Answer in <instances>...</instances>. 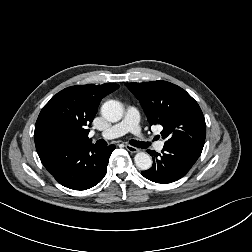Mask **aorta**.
Masks as SVG:
<instances>
[{
  "label": "aorta",
  "instance_id": "1",
  "mask_svg": "<svg viewBox=\"0 0 252 252\" xmlns=\"http://www.w3.org/2000/svg\"><path fill=\"white\" fill-rule=\"evenodd\" d=\"M102 116L109 122H118L123 117V108L118 101H106L101 107ZM136 166L141 170H148L152 166V158L145 152H138L134 157Z\"/></svg>",
  "mask_w": 252,
  "mask_h": 252
}]
</instances>
